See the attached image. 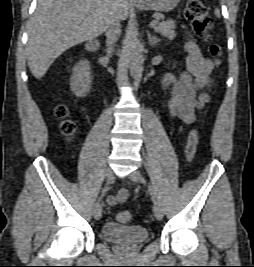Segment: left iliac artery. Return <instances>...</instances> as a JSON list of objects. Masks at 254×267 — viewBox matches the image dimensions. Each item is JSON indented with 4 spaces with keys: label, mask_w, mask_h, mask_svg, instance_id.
<instances>
[{
    "label": "left iliac artery",
    "mask_w": 254,
    "mask_h": 267,
    "mask_svg": "<svg viewBox=\"0 0 254 267\" xmlns=\"http://www.w3.org/2000/svg\"><path fill=\"white\" fill-rule=\"evenodd\" d=\"M149 191H150V194L152 196V199L155 201V192L151 186H149Z\"/></svg>",
    "instance_id": "obj_1"
}]
</instances>
